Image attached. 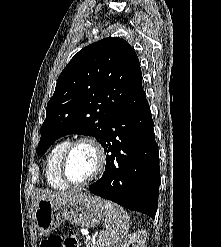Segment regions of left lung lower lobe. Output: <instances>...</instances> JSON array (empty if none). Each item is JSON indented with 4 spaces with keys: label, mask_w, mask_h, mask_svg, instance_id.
I'll return each mask as SVG.
<instances>
[{
    "label": "left lung lower lobe",
    "mask_w": 221,
    "mask_h": 247,
    "mask_svg": "<svg viewBox=\"0 0 221 247\" xmlns=\"http://www.w3.org/2000/svg\"><path fill=\"white\" fill-rule=\"evenodd\" d=\"M153 126L148 102L113 118L102 145L108 152L105 171L101 179L89 186L91 193L152 218L160 185Z\"/></svg>",
    "instance_id": "obj_1"
}]
</instances>
